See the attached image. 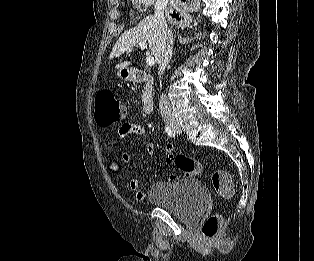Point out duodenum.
Wrapping results in <instances>:
<instances>
[{"label": "duodenum", "instance_id": "1", "mask_svg": "<svg viewBox=\"0 0 314 261\" xmlns=\"http://www.w3.org/2000/svg\"><path fill=\"white\" fill-rule=\"evenodd\" d=\"M131 79L134 83L146 85L142 99V112L149 115L154 107L153 77L149 73L136 70L131 73Z\"/></svg>", "mask_w": 314, "mask_h": 261}]
</instances>
